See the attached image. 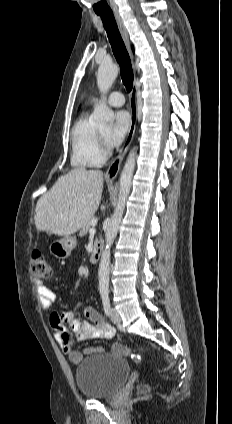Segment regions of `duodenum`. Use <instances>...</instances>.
<instances>
[{
	"instance_id": "duodenum-1",
	"label": "duodenum",
	"mask_w": 232,
	"mask_h": 424,
	"mask_svg": "<svg viewBox=\"0 0 232 424\" xmlns=\"http://www.w3.org/2000/svg\"><path fill=\"white\" fill-rule=\"evenodd\" d=\"M102 247H103V243L102 241H98L92 251L91 254V262L92 263H97L100 259L101 256V252H102Z\"/></svg>"
}]
</instances>
